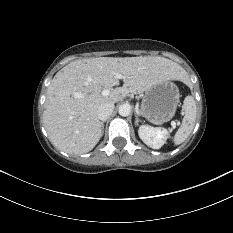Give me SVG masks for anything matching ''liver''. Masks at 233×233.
<instances>
[{
    "instance_id": "1",
    "label": "liver",
    "mask_w": 233,
    "mask_h": 233,
    "mask_svg": "<svg viewBox=\"0 0 233 233\" xmlns=\"http://www.w3.org/2000/svg\"><path fill=\"white\" fill-rule=\"evenodd\" d=\"M117 74H122L123 86ZM185 70L163 57H97L77 60L63 67L47 89L43 122L51 143L69 154L91 151L102 136L97 110L116 103L129 93L139 94L156 84L183 80ZM104 89H111L103 96ZM80 97H76V94Z\"/></svg>"
}]
</instances>
